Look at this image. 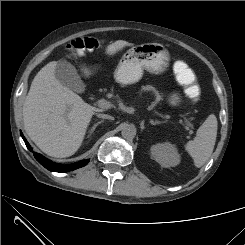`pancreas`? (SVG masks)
<instances>
[{
    "label": "pancreas",
    "mask_w": 245,
    "mask_h": 245,
    "mask_svg": "<svg viewBox=\"0 0 245 245\" xmlns=\"http://www.w3.org/2000/svg\"><path fill=\"white\" fill-rule=\"evenodd\" d=\"M145 91L152 92V94H154V96L156 97L157 102H159L160 100H163L162 93H160L155 87L151 85L142 86L139 94H142V92H145Z\"/></svg>",
    "instance_id": "1"
}]
</instances>
